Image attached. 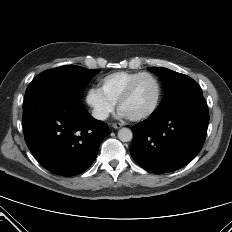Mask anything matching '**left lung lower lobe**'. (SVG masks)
Instances as JSON below:
<instances>
[{
  "mask_svg": "<svg viewBox=\"0 0 232 232\" xmlns=\"http://www.w3.org/2000/svg\"><path fill=\"white\" fill-rule=\"evenodd\" d=\"M208 121L202 91H193L136 124L130 153L138 165L153 173L180 169L200 152Z\"/></svg>",
  "mask_w": 232,
  "mask_h": 232,
  "instance_id": "left-lung-lower-lobe-1",
  "label": "left lung lower lobe"
}]
</instances>
